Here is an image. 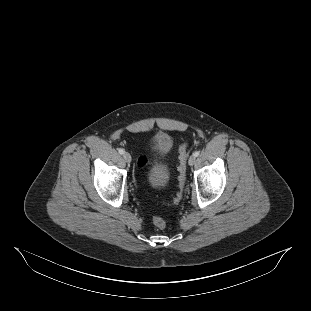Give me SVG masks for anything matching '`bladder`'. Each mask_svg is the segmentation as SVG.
<instances>
[{"label":"bladder","instance_id":"31cf9c89","mask_svg":"<svg viewBox=\"0 0 311 311\" xmlns=\"http://www.w3.org/2000/svg\"><path fill=\"white\" fill-rule=\"evenodd\" d=\"M174 147L173 139L165 133L154 136L149 146L146 160V181L153 189L165 188L172 177L170 155Z\"/></svg>","mask_w":311,"mask_h":311}]
</instances>
